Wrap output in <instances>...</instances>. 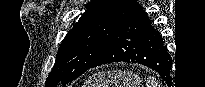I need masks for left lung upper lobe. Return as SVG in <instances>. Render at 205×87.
<instances>
[{"mask_svg": "<svg viewBox=\"0 0 205 87\" xmlns=\"http://www.w3.org/2000/svg\"><path fill=\"white\" fill-rule=\"evenodd\" d=\"M136 0H92L87 10L61 43L45 86L67 84L98 59Z\"/></svg>", "mask_w": 205, "mask_h": 87, "instance_id": "left-lung-upper-lobe-1", "label": "left lung upper lobe"}]
</instances>
